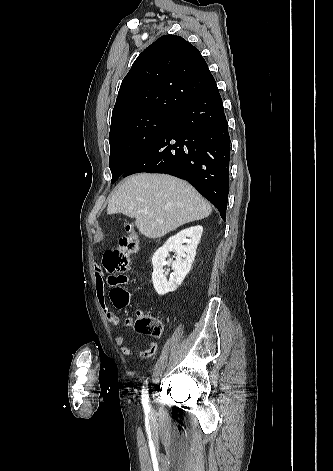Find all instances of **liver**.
<instances>
[{
  "mask_svg": "<svg viewBox=\"0 0 333 471\" xmlns=\"http://www.w3.org/2000/svg\"><path fill=\"white\" fill-rule=\"evenodd\" d=\"M211 211V205L186 181L149 173L125 179L110 195L107 207L109 215L135 218L139 232L152 239L204 219Z\"/></svg>",
  "mask_w": 333,
  "mask_h": 471,
  "instance_id": "liver-1",
  "label": "liver"
}]
</instances>
